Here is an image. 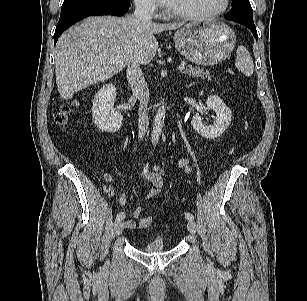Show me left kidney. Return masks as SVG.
Wrapping results in <instances>:
<instances>
[{"label": "left kidney", "instance_id": "left-kidney-1", "mask_svg": "<svg viewBox=\"0 0 307 301\" xmlns=\"http://www.w3.org/2000/svg\"><path fill=\"white\" fill-rule=\"evenodd\" d=\"M207 106L216 114L213 125L205 126L202 123L199 113L193 116L191 124L194 130L197 131L202 137L207 139H215L223 134L228 128L231 122V110L216 95H211L207 98Z\"/></svg>", "mask_w": 307, "mask_h": 301}]
</instances>
